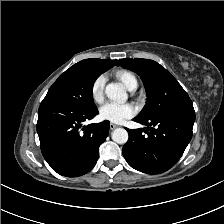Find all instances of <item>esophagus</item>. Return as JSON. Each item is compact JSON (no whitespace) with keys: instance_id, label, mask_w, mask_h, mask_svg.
I'll use <instances>...</instances> for the list:
<instances>
[{"instance_id":"34e87169","label":"esophagus","mask_w":224,"mask_h":224,"mask_svg":"<svg viewBox=\"0 0 224 224\" xmlns=\"http://www.w3.org/2000/svg\"><path fill=\"white\" fill-rule=\"evenodd\" d=\"M117 127H118V125H116L114 123H110V130H114Z\"/></svg>"}]
</instances>
